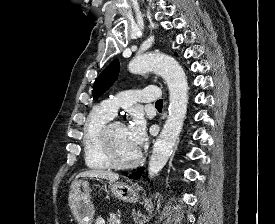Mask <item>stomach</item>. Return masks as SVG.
Segmentation results:
<instances>
[{"label": "stomach", "mask_w": 275, "mask_h": 224, "mask_svg": "<svg viewBox=\"0 0 275 224\" xmlns=\"http://www.w3.org/2000/svg\"><path fill=\"white\" fill-rule=\"evenodd\" d=\"M109 189L118 199L125 202H137L139 189L135 185L123 182H109ZM69 207L78 224H92L95 209L90 199L89 183L85 180H74L70 186Z\"/></svg>", "instance_id": "1"}]
</instances>
